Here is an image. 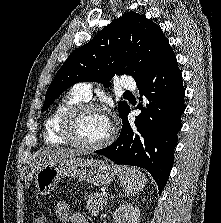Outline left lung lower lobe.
I'll return each mask as SVG.
<instances>
[{"mask_svg": "<svg viewBox=\"0 0 221 223\" xmlns=\"http://www.w3.org/2000/svg\"><path fill=\"white\" fill-rule=\"evenodd\" d=\"M137 87L149 103L137 106L141 114L134 123L127 119L128 106L121 114L123 125L118 139L95 153L116 164L145 168L161 193L173 166L177 132L181 129V115L185 110L182 74L171 46Z\"/></svg>", "mask_w": 221, "mask_h": 223, "instance_id": "left-lung-lower-lobe-1", "label": "left lung lower lobe"}]
</instances>
